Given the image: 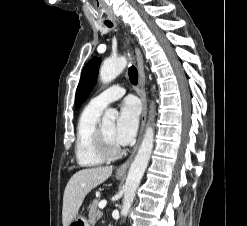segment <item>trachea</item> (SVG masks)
Returning <instances> with one entry per match:
<instances>
[{
  "label": "trachea",
  "mask_w": 247,
  "mask_h": 226,
  "mask_svg": "<svg viewBox=\"0 0 247 226\" xmlns=\"http://www.w3.org/2000/svg\"><path fill=\"white\" fill-rule=\"evenodd\" d=\"M108 27H112V23L111 22H107L105 23ZM128 75L130 78V81L133 85H137L138 83V71L136 69V67L134 65H131L128 69Z\"/></svg>",
  "instance_id": "3493384b"
}]
</instances>
